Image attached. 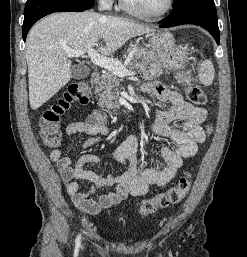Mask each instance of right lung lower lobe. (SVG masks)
Masks as SVG:
<instances>
[{
	"label": "right lung lower lobe",
	"mask_w": 247,
	"mask_h": 257,
	"mask_svg": "<svg viewBox=\"0 0 247 257\" xmlns=\"http://www.w3.org/2000/svg\"><path fill=\"white\" fill-rule=\"evenodd\" d=\"M95 0H27L22 26L23 40L32 25L40 18L54 12H80L93 6Z\"/></svg>",
	"instance_id": "1"
}]
</instances>
